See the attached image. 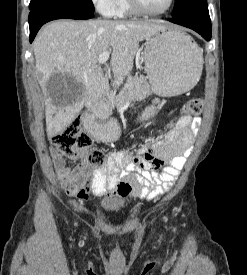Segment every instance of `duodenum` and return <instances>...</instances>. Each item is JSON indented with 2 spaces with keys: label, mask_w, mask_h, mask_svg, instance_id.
Masks as SVG:
<instances>
[{
  "label": "duodenum",
  "mask_w": 247,
  "mask_h": 275,
  "mask_svg": "<svg viewBox=\"0 0 247 275\" xmlns=\"http://www.w3.org/2000/svg\"><path fill=\"white\" fill-rule=\"evenodd\" d=\"M111 92H106L95 108V112L106 111L110 109Z\"/></svg>",
  "instance_id": "410a0bca"
}]
</instances>
